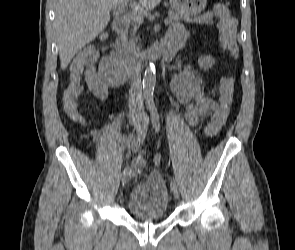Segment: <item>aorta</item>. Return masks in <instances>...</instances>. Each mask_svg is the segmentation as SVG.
Wrapping results in <instances>:
<instances>
[{
	"label": "aorta",
	"instance_id": "obj_1",
	"mask_svg": "<svg viewBox=\"0 0 295 250\" xmlns=\"http://www.w3.org/2000/svg\"><path fill=\"white\" fill-rule=\"evenodd\" d=\"M156 83V70L153 63L146 68L143 78V97L149 106H153V93Z\"/></svg>",
	"mask_w": 295,
	"mask_h": 250
}]
</instances>
